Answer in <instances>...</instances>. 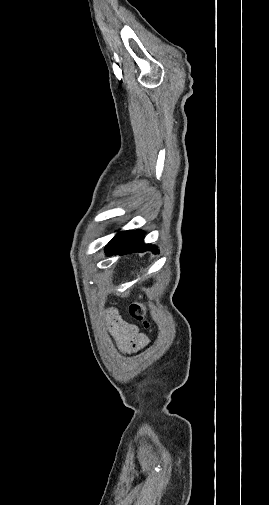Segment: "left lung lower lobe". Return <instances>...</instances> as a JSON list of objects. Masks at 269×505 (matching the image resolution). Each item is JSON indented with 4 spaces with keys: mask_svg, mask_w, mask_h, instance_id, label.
Listing matches in <instances>:
<instances>
[{
    "mask_svg": "<svg viewBox=\"0 0 269 505\" xmlns=\"http://www.w3.org/2000/svg\"><path fill=\"white\" fill-rule=\"evenodd\" d=\"M143 237L144 232L140 230L119 232L106 246V254L145 251L158 253L157 247L143 243Z\"/></svg>",
    "mask_w": 269,
    "mask_h": 505,
    "instance_id": "1",
    "label": "left lung lower lobe"
}]
</instances>
